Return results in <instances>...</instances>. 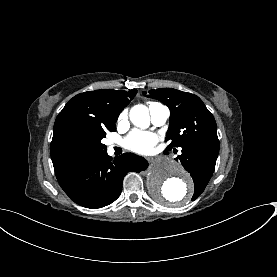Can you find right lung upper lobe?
<instances>
[{"mask_svg":"<svg viewBox=\"0 0 277 277\" xmlns=\"http://www.w3.org/2000/svg\"><path fill=\"white\" fill-rule=\"evenodd\" d=\"M136 92L102 89L74 96L56 118L50 153L66 147L81 135L94 137L106 135L107 130L115 131L118 115Z\"/></svg>","mask_w":277,"mask_h":277,"instance_id":"1","label":"right lung upper lobe"}]
</instances>
